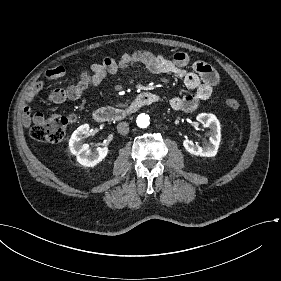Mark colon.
<instances>
[{
	"label": "colon",
	"mask_w": 281,
	"mask_h": 281,
	"mask_svg": "<svg viewBox=\"0 0 281 281\" xmlns=\"http://www.w3.org/2000/svg\"><path fill=\"white\" fill-rule=\"evenodd\" d=\"M224 103L231 109L239 107V101L233 97H227ZM68 123L63 115L50 116L31 124L30 135L40 142L58 143L64 138Z\"/></svg>",
	"instance_id": "1"
}]
</instances>
